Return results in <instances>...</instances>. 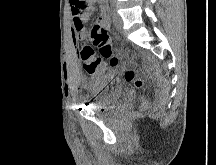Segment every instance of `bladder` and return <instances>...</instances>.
I'll list each match as a JSON object with an SVG mask.
<instances>
[{
    "mask_svg": "<svg viewBox=\"0 0 216 165\" xmlns=\"http://www.w3.org/2000/svg\"><path fill=\"white\" fill-rule=\"evenodd\" d=\"M119 81H121V76H114L112 73L95 76L91 82L93 100L90 106L96 111L110 109L115 99L121 96L118 90Z\"/></svg>",
    "mask_w": 216,
    "mask_h": 165,
    "instance_id": "obj_1",
    "label": "bladder"
}]
</instances>
